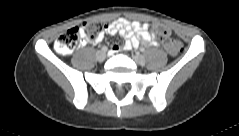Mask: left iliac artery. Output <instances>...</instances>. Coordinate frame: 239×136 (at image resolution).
Segmentation results:
<instances>
[{"mask_svg": "<svg viewBox=\"0 0 239 136\" xmlns=\"http://www.w3.org/2000/svg\"><path fill=\"white\" fill-rule=\"evenodd\" d=\"M146 49L145 48H140V51L141 52H144Z\"/></svg>", "mask_w": 239, "mask_h": 136, "instance_id": "left-iliac-artery-1", "label": "left iliac artery"}]
</instances>
